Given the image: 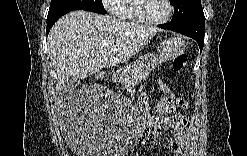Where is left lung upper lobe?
<instances>
[{
  "instance_id": "obj_1",
  "label": "left lung upper lobe",
  "mask_w": 247,
  "mask_h": 156,
  "mask_svg": "<svg viewBox=\"0 0 247 156\" xmlns=\"http://www.w3.org/2000/svg\"><path fill=\"white\" fill-rule=\"evenodd\" d=\"M174 15L172 21H177L190 14L195 8L201 6V0H174Z\"/></svg>"
}]
</instances>
